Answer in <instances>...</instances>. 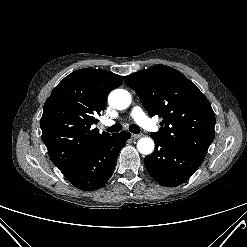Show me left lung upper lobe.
<instances>
[{
    "label": "left lung upper lobe",
    "mask_w": 247,
    "mask_h": 247,
    "mask_svg": "<svg viewBox=\"0 0 247 247\" xmlns=\"http://www.w3.org/2000/svg\"><path fill=\"white\" fill-rule=\"evenodd\" d=\"M150 116L163 118L152 133L166 144L206 156L215 137V114L198 87L181 72L165 65L124 76Z\"/></svg>",
    "instance_id": "left-lung-upper-lobe-1"
}]
</instances>
